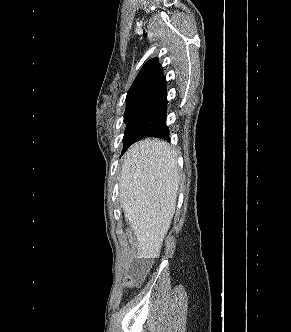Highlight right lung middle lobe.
Returning a JSON list of instances; mask_svg holds the SVG:
<instances>
[{
	"label": "right lung middle lobe",
	"mask_w": 291,
	"mask_h": 332,
	"mask_svg": "<svg viewBox=\"0 0 291 332\" xmlns=\"http://www.w3.org/2000/svg\"><path fill=\"white\" fill-rule=\"evenodd\" d=\"M145 98L146 97H135V98L126 99V109H125V113H124V122L126 123V127L133 119V117L137 111V108L143 102V100ZM123 141H124V139H123Z\"/></svg>",
	"instance_id": "dd1d6c3e"
}]
</instances>
